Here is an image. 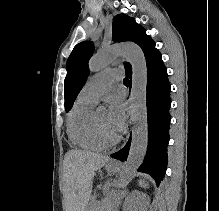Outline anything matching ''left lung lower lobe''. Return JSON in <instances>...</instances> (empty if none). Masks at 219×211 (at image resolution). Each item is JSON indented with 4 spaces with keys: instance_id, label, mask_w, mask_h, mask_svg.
Masks as SVG:
<instances>
[{
    "instance_id": "1",
    "label": "left lung lower lobe",
    "mask_w": 219,
    "mask_h": 211,
    "mask_svg": "<svg viewBox=\"0 0 219 211\" xmlns=\"http://www.w3.org/2000/svg\"><path fill=\"white\" fill-rule=\"evenodd\" d=\"M147 63V121L148 147L138 171L153 177L157 184L163 179L167 166V145L169 143L170 90L166 67L161 54L155 50L146 58ZM131 78V72L126 73ZM131 138L125 147L111 157L125 161L129 154Z\"/></svg>"
}]
</instances>
